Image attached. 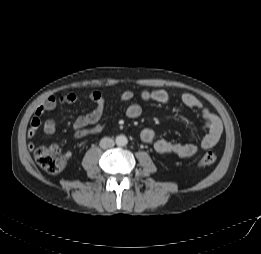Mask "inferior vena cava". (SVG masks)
<instances>
[{
    "label": "inferior vena cava",
    "mask_w": 261,
    "mask_h": 254,
    "mask_svg": "<svg viewBox=\"0 0 261 254\" xmlns=\"http://www.w3.org/2000/svg\"><path fill=\"white\" fill-rule=\"evenodd\" d=\"M100 147L103 149L112 148L115 145V142L112 138L104 137L100 140Z\"/></svg>",
    "instance_id": "obj_1"
}]
</instances>
